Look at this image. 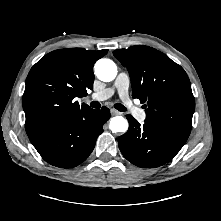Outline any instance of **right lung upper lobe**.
<instances>
[{"instance_id": "obj_1", "label": "right lung upper lobe", "mask_w": 221, "mask_h": 221, "mask_svg": "<svg viewBox=\"0 0 221 221\" xmlns=\"http://www.w3.org/2000/svg\"><path fill=\"white\" fill-rule=\"evenodd\" d=\"M108 50L70 48L55 50L30 70L23 94L26 133L61 123L71 114L89 108L76 97L93 88L94 63Z\"/></svg>"}]
</instances>
